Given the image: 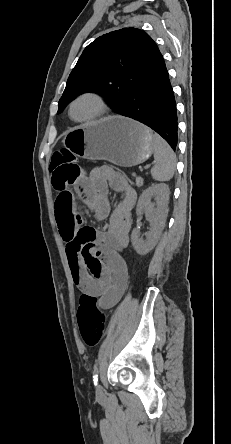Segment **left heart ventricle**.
<instances>
[{
  "label": "left heart ventricle",
  "mask_w": 231,
  "mask_h": 444,
  "mask_svg": "<svg viewBox=\"0 0 231 444\" xmlns=\"http://www.w3.org/2000/svg\"><path fill=\"white\" fill-rule=\"evenodd\" d=\"M99 109L98 103L91 97L79 99L73 107V116L84 119L93 116Z\"/></svg>",
  "instance_id": "b2bd125f"
}]
</instances>
